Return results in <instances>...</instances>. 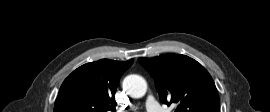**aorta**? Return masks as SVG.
Segmentation results:
<instances>
[{
  "label": "aorta",
  "mask_w": 270,
  "mask_h": 112,
  "mask_svg": "<svg viewBox=\"0 0 270 112\" xmlns=\"http://www.w3.org/2000/svg\"><path fill=\"white\" fill-rule=\"evenodd\" d=\"M124 91L133 98H140L145 95L147 91V84L144 78L139 75H128L123 80Z\"/></svg>",
  "instance_id": "762f6f07"
}]
</instances>
